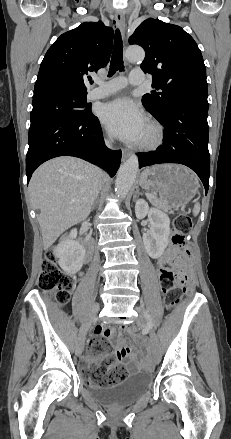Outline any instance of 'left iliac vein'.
<instances>
[{"mask_svg": "<svg viewBox=\"0 0 231 439\" xmlns=\"http://www.w3.org/2000/svg\"><path fill=\"white\" fill-rule=\"evenodd\" d=\"M139 315L137 318V324L141 327H145L149 329L150 343L152 348V359L155 364H157L160 360V343L157 337V334L151 327L148 319V314L143 306L136 307Z\"/></svg>", "mask_w": 231, "mask_h": 439, "instance_id": "obj_1", "label": "left iliac vein"}]
</instances>
